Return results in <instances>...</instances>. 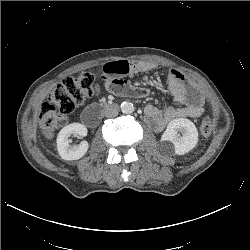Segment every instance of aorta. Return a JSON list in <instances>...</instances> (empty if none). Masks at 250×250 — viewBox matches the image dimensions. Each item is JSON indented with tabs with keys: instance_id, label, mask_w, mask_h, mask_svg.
<instances>
[{
	"instance_id": "obj_1",
	"label": "aorta",
	"mask_w": 250,
	"mask_h": 250,
	"mask_svg": "<svg viewBox=\"0 0 250 250\" xmlns=\"http://www.w3.org/2000/svg\"><path fill=\"white\" fill-rule=\"evenodd\" d=\"M122 113L131 114L134 112V106L131 102H123L120 106Z\"/></svg>"
}]
</instances>
